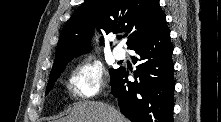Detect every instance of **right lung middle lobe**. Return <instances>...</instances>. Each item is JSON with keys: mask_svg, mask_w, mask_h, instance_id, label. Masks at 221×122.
<instances>
[{"mask_svg": "<svg viewBox=\"0 0 221 122\" xmlns=\"http://www.w3.org/2000/svg\"><path fill=\"white\" fill-rule=\"evenodd\" d=\"M63 70H64V68L53 73V74H50L48 86L46 88V93H45L46 95L53 88L55 81L59 78V76H60L61 72H63ZM117 71H118V69H110L109 70L110 77L112 78L116 74Z\"/></svg>", "mask_w": 221, "mask_h": 122, "instance_id": "obj_1", "label": "right lung middle lobe"}]
</instances>
